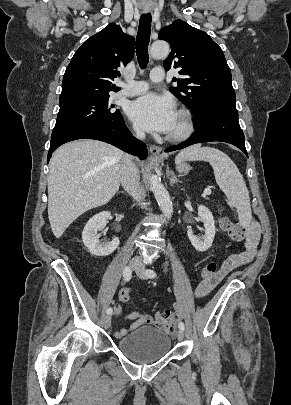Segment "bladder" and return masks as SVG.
Wrapping results in <instances>:
<instances>
[{"mask_svg":"<svg viewBox=\"0 0 291 405\" xmlns=\"http://www.w3.org/2000/svg\"><path fill=\"white\" fill-rule=\"evenodd\" d=\"M117 349L137 364H150L165 357L171 347L170 337L152 326L139 327L121 337Z\"/></svg>","mask_w":291,"mask_h":405,"instance_id":"1","label":"bladder"}]
</instances>
